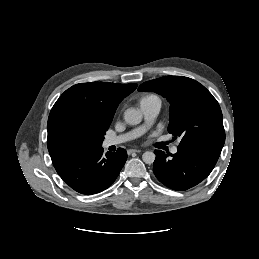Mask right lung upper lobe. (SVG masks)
Masks as SVG:
<instances>
[{"mask_svg":"<svg viewBox=\"0 0 259 259\" xmlns=\"http://www.w3.org/2000/svg\"><path fill=\"white\" fill-rule=\"evenodd\" d=\"M137 84L108 82L79 83L67 89L56 101L47 123L48 151L69 149L65 127L73 119L109 128L119 103Z\"/></svg>","mask_w":259,"mask_h":259,"instance_id":"obj_1","label":"right lung upper lobe"}]
</instances>
